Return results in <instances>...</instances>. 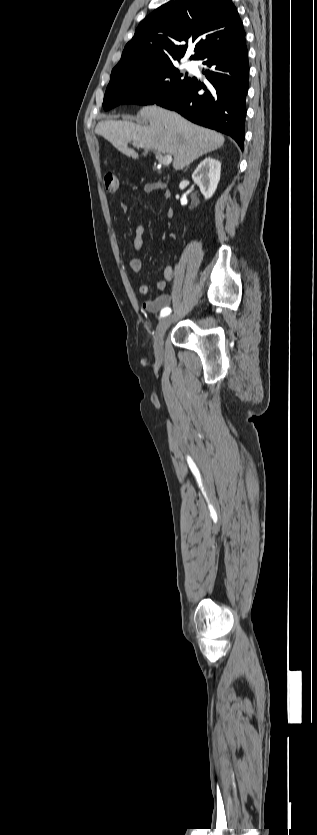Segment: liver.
I'll list each match as a JSON object with an SVG mask.
<instances>
[{
    "mask_svg": "<svg viewBox=\"0 0 317 835\" xmlns=\"http://www.w3.org/2000/svg\"><path fill=\"white\" fill-rule=\"evenodd\" d=\"M137 117L149 125L131 120H103L96 125L95 133L133 159L138 158V153L128 148L131 141L144 149V156L150 150L168 153L174 158L175 170H182L197 158L220 148L225 141L222 134L156 105L143 107Z\"/></svg>",
    "mask_w": 317,
    "mask_h": 835,
    "instance_id": "liver-1",
    "label": "liver"
}]
</instances>
